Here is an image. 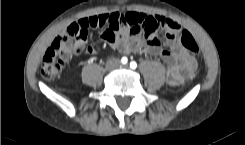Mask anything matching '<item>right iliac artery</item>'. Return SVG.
<instances>
[{
  "mask_svg": "<svg viewBox=\"0 0 245 145\" xmlns=\"http://www.w3.org/2000/svg\"><path fill=\"white\" fill-rule=\"evenodd\" d=\"M127 61H128V59H127L126 57H123V58L121 59V62H122L123 64H126Z\"/></svg>",
  "mask_w": 245,
  "mask_h": 145,
  "instance_id": "right-iliac-artery-1",
  "label": "right iliac artery"
}]
</instances>
